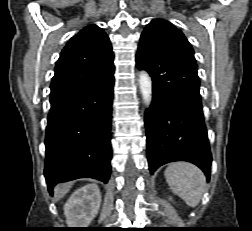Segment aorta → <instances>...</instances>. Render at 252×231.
<instances>
[{
    "mask_svg": "<svg viewBox=\"0 0 252 231\" xmlns=\"http://www.w3.org/2000/svg\"><path fill=\"white\" fill-rule=\"evenodd\" d=\"M138 82L143 101L149 107L152 100V81L149 74L146 71H141Z\"/></svg>",
    "mask_w": 252,
    "mask_h": 231,
    "instance_id": "762f6f07",
    "label": "aorta"
}]
</instances>
